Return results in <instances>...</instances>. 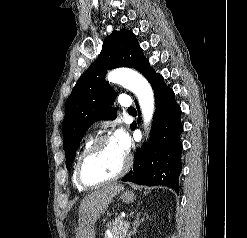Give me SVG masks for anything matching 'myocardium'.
<instances>
[{
    "mask_svg": "<svg viewBox=\"0 0 247 238\" xmlns=\"http://www.w3.org/2000/svg\"><path fill=\"white\" fill-rule=\"evenodd\" d=\"M112 138L109 135H101L97 138H95L91 144L85 149V151L81 154V156L79 157V160L77 162L76 165V179L78 181V183L83 186L84 188H94V187H98L101 186L103 184L112 182L114 180L119 179L120 177H122L123 175H125L128 170L130 169L131 166V158L130 156L126 155L125 157V162L123 167L120 169V171H118L116 174L101 179V180H97V181H88L83 173V168L85 163L87 162V160L100 148V146L105 143L108 140H111Z\"/></svg>",
    "mask_w": 247,
    "mask_h": 238,
    "instance_id": "obj_1",
    "label": "myocardium"
}]
</instances>
